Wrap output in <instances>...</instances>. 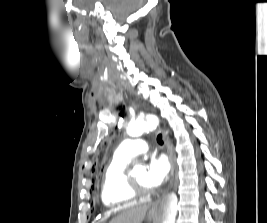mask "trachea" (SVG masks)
Returning a JSON list of instances; mask_svg holds the SVG:
<instances>
[{
	"label": "trachea",
	"instance_id": "obj_1",
	"mask_svg": "<svg viewBox=\"0 0 267 223\" xmlns=\"http://www.w3.org/2000/svg\"><path fill=\"white\" fill-rule=\"evenodd\" d=\"M157 142H158V144H160V145L163 144L162 134H159V135L157 136Z\"/></svg>",
	"mask_w": 267,
	"mask_h": 223
}]
</instances>
